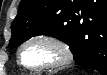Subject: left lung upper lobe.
Listing matches in <instances>:
<instances>
[{"label": "left lung upper lobe", "instance_id": "5c2ea615", "mask_svg": "<svg viewBox=\"0 0 107 75\" xmlns=\"http://www.w3.org/2000/svg\"><path fill=\"white\" fill-rule=\"evenodd\" d=\"M96 8L88 0H21L18 14L11 24L9 48L36 35H50L66 42L74 58H79L84 54L87 41L80 37L83 19ZM96 30L89 32V40Z\"/></svg>", "mask_w": 107, "mask_h": 75}]
</instances>
